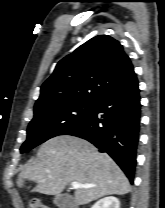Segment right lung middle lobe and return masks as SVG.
Segmentation results:
<instances>
[{"label":"right lung middle lobe","mask_w":165,"mask_h":208,"mask_svg":"<svg viewBox=\"0 0 165 208\" xmlns=\"http://www.w3.org/2000/svg\"><path fill=\"white\" fill-rule=\"evenodd\" d=\"M96 104L97 101H68L34 110V118L29 123L27 140L21 146V153L52 137L74 130L90 116Z\"/></svg>","instance_id":"1"}]
</instances>
